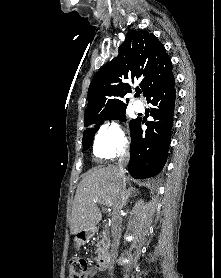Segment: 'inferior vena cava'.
I'll return each mask as SVG.
<instances>
[{"mask_svg":"<svg viewBox=\"0 0 221 278\" xmlns=\"http://www.w3.org/2000/svg\"><path fill=\"white\" fill-rule=\"evenodd\" d=\"M130 154L129 152H124L119 161H118V168L122 173V180L120 181L117 191H116V198L114 204L112 206V219H111V234H112V245H111V256H113L116 252L117 245H118V236L121 231V210L125 204V183L123 181V177L125 174V167L129 162ZM108 269H112L111 265H108Z\"/></svg>","mask_w":221,"mask_h":278,"instance_id":"602c4592","label":"inferior vena cava"}]
</instances>
